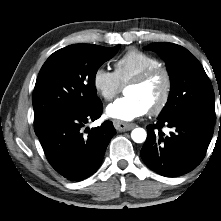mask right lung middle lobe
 Returning <instances> with one entry per match:
<instances>
[{"instance_id":"1","label":"right lung middle lobe","mask_w":221,"mask_h":221,"mask_svg":"<svg viewBox=\"0 0 221 221\" xmlns=\"http://www.w3.org/2000/svg\"><path fill=\"white\" fill-rule=\"evenodd\" d=\"M120 45L74 44L54 52L42 66L33 92L35 133L55 117L95 106V75Z\"/></svg>"}]
</instances>
